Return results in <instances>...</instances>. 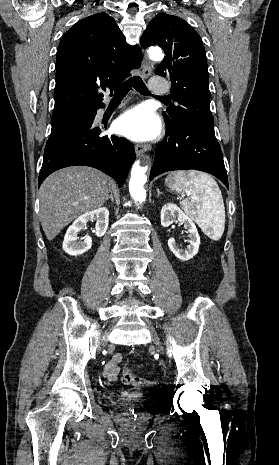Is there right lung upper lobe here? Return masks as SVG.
I'll return each mask as SVG.
<instances>
[{"label": "right lung upper lobe", "mask_w": 279, "mask_h": 465, "mask_svg": "<svg viewBox=\"0 0 279 465\" xmlns=\"http://www.w3.org/2000/svg\"><path fill=\"white\" fill-rule=\"evenodd\" d=\"M142 53L131 46L108 14L78 21L60 41L56 57L55 106L52 126L68 122L102 103L103 91L111 92L139 68Z\"/></svg>", "instance_id": "obj_1"}]
</instances>
